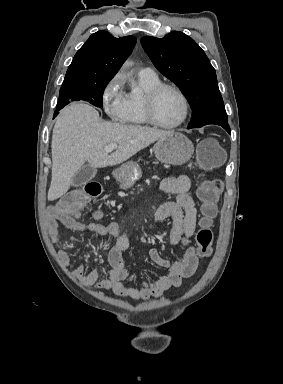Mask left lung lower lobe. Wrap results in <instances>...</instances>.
<instances>
[{"label": "left lung lower lobe", "instance_id": "0a47b994", "mask_svg": "<svg viewBox=\"0 0 283 384\" xmlns=\"http://www.w3.org/2000/svg\"><path fill=\"white\" fill-rule=\"evenodd\" d=\"M217 125H220L222 126L229 134H230V127L228 125V123H218Z\"/></svg>", "mask_w": 283, "mask_h": 384}]
</instances>
